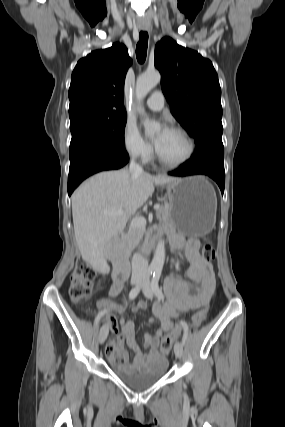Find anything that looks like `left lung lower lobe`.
I'll list each match as a JSON object with an SVG mask.
<instances>
[{
	"instance_id": "0a47b994",
	"label": "left lung lower lobe",
	"mask_w": 285,
	"mask_h": 427,
	"mask_svg": "<svg viewBox=\"0 0 285 427\" xmlns=\"http://www.w3.org/2000/svg\"><path fill=\"white\" fill-rule=\"evenodd\" d=\"M223 160L224 147L222 142L204 143L196 148L192 158L183 163L179 169L168 174L172 176L208 175L217 182L223 194L225 184Z\"/></svg>"
}]
</instances>
